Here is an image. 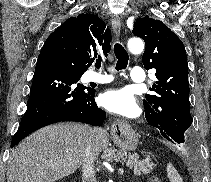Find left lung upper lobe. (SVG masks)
Listing matches in <instances>:
<instances>
[{
  "instance_id": "5c2ea615",
  "label": "left lung upper lobe",
  "mask_w": 211,
  "mask_h": 182,
  "mask_svg": "<svg viewBox=\"0 0 211 182\" xmlns=\"http://www.w3.org/2000/svg\"><path fill=\"white\" fill-rule=\"evenodd\" d=\"M133 34L145 41L146 70L156 69L157 81L143 101L147 122L169 141L192 145L187 56L182 41L165 24L148 16L137 19Z\"/></svg>"
}]
</instances>
